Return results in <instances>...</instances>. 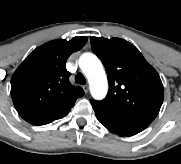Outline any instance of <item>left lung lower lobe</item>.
<instances>
[{"mask_svg":"<svg viewBox=\"0 0 181 164\" xmlns=\"http://www.w3.org/2000/svg\"><path fill=\"white\" fill-rule=\"evenodd\" d=\"M92 107L95 111L96 118L102 125L111 132L122 136H133L143 131L149 125L110 108L93 104Z\"/></svg>","mask_w":181,"mask_h":164,"instance_id":"left-lung-lower-lobe-1","label":"left lung lower lobe"}]
</instances>
